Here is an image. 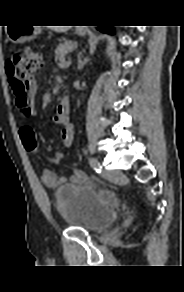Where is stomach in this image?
<instances>
[{"label": "stomach", "instance_id": "0dacf381", "mask_svg": "<svg viewBox=\"0 0 184 292\" xmlns=\"http://www.w3.org/2000/svg\"><path fill=\"white\" fill-rule=\"evenodd\" d=\"M41 29L37 26H27L21 28H9L8 37L13 43H23L27 40L35 38ZM80 34H84L80 32Z\"/></svg>", "mask_w": 184, "mask_h": 292}]
</instances>
